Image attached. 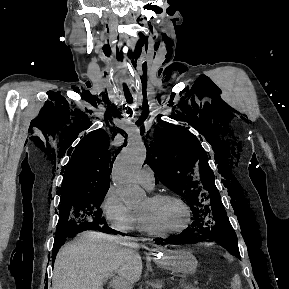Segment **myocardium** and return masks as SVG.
Returning a JSON list of instances; mask_svg holds the SVG:
<instances>
[{
    "mask_svg": "<svg viewBox=\"0 0 289 289\" xmlns=\"http://www.w3.org/2000/svg\"><path fill=\"white\" fill-rule=\"evenodd\" d=\"M149 198H150V200H152L154 202H160L163 200L176 201L185 210L186 216H187V221H186V224L178 230L164 232V231H160V230L155 229L150 224V222L147 220V218L143 214L139 213V218L141 220L143 228L148 234L156 236V237H169V236L179 235V234L185 232L190 227L191 222H192V212H191L189 205L181 197H179L175 194H171V193H157V194L151 195Z\"/></svg>",
    "mask_w": 289,
    "mask_h": 289,
    "instance_id": "obj_1",
    "label": "myocardium"
}]
</instances>
